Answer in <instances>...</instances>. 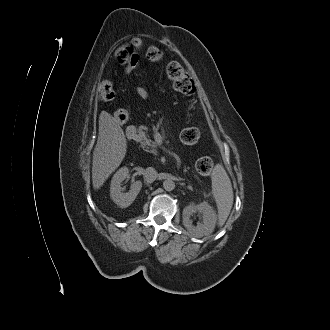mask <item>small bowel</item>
Wrapping results in <instances>:
<instances>
[{
    "instance_id": "c3829d8e",
    "label": "small bowel",
    "mask_w": 330,
    "mask_h": 330,
    "mask_svg": "<svg viewBox=\"0 0 330 330\" xmlns=\"http://www.w3.org/2000/svg\"><path fill=\"white\" fill-rule=\"evenodd\" d=\"M132 45L134 47L138 48L142 45V41L139 38H133ZM122 64L124 67V72L126 74H130L131 72H133L136 69V67L138 65V57L135 55L134 57H132V59L130 61H128L126 63H122ZM136 94L142 100H146L149 97V92H148L147 88H145L143 86H139L136 88ZM119 110H125V109H119ZM126 112L128 113L127 110H126ZM128 119H129V113H128ZM126 121H121V123H124Z\"/></svg>"
}]
</instances>
